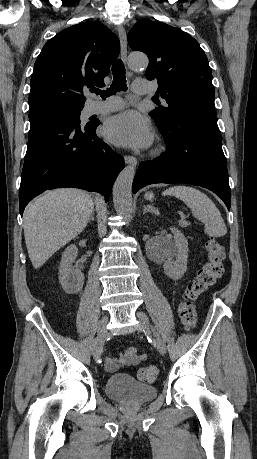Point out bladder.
I'll list each match as a JSON object with an SVG mask.
<instances>
[{"label": "bladder", "mask_w": 257, "mask_h": 459, "mask_svg": "<svg viewBox=\"0 0 257 459\" xmlns=\"http://www.w3.org/2000/svg\"><path fill=\"white\" fill-rule=\"evenodd\" d=\"M105 390L110 398L132 404L145 403L157 395L155 386L139 382L124 373L110 376L106 380Z\"/></svg>", "instance_id": "1"}]
</instances>
